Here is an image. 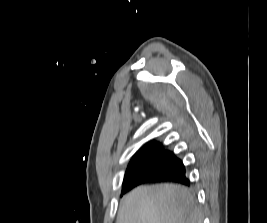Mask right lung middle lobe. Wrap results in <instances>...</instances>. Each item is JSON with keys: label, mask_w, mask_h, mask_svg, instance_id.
I'll use <instances>...</instances> for the list:
<instances>
[{"label": "right lung middle lobe", "mask_w": 267, "mask_h": 223, "mask_svg": "<svg viewBox=\"0 0 267 223\" xmlns=\"http://www.w3.org/2000/svg\"><path fill=\"white\" fill-rule=\"evenodd\" d=\"M180 163L181 160L176 158V156L172 152L162 151L149 160L129 165L126 171V175H132L142 171H147V172L160 171L163 173H169L176 167H178Z\"/></svg>", "instance_id": "1"}]
</instances>
